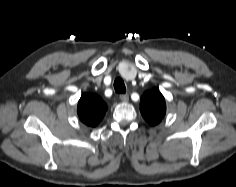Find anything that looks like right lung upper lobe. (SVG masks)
<instances>
[{
    "label": "right lung upper lobe",
    "instance_id": "obj_1",
    "mask_svg": "<svg viewBox=\"0 0 236 187\" xmlns=\"http://www.w3.org/2000/svg\"><path fill=\"white\" fill-rule=\"evenodd\" d=\"M106 111V103L95 94L85 93L78 102L77 113L80 120L91 127L99 124Z\"/></svg>",
    "mask_w": 236,
    "mask_h": 187
}]
</instances>
